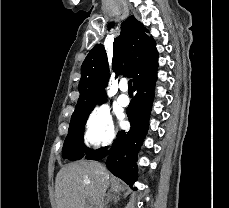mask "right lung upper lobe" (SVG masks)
Wrapping results in <instances>:
<instances>
[{"label": "right lung upper lobe", "mask_w": 229, "mask_h": 208, "mask_svg": "<svg viewBox=\"0 0 229 208\" xmlns=\"http://www.w3.org/2000/svg\"><path fill=\"white\" fill-rule=\"evenodd\" d=\"M146 32L143 24L131 16L123 22L121 34L113 43V71L116 75L124 73L132 77L134 84L154 71L158 64L155 41ZM108 80L107 54L102 44H96L81 66L80 97L71 120L89 115L97 103L105 102Z\"/></svg>", "instance_id": "cb5924a9"}]
</instances>
